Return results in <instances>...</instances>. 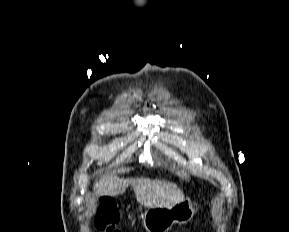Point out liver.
Returning a JSON list of instances; mask_svg holds the SVG:
<instances>
[{
  "label": "liver",
  "instance_id": "6515ba94",
  "mask_svg": "<svg viewBox=\"0 0 289 232\" xmlns=\"http://www.w3.org/2000/svg\"><path fill=\"white\" fill-rule=\"evenodd\" d=\"M133 187L137 201L145 207L171 206L184 199V193L175 183L149 178L124 179L117 176H102L93 186L94 196H117L128 186Z\"/></svg>",
  "mask_w": 289,
  "mask_h": 232
}]
</instances>
